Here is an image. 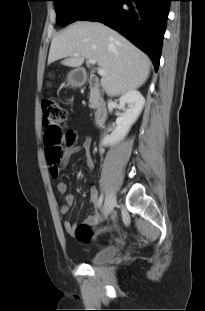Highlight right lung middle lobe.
<instances>
[{"mask_svg":"<svg viewBox=\"0 0 205 311\" xmlns=\"http://www.w3.org/2000/svg\"><path fill=\"white\" fill-rule=\"evenodd\" d=\"M57 13L56 23L68 25L93 10L101 0H53Z\"/></svg>","mask_w":205,"mask_h":311,"instance_id":"1","label":"right lung middle lobe"}]
</instances>
